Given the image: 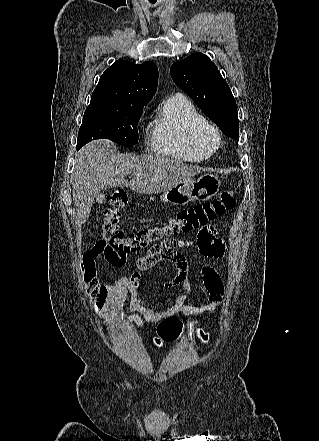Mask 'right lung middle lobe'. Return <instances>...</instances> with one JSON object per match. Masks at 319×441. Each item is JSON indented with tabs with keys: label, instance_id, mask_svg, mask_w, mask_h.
Listing matches in <instances>:
<instances>
[{
	"label": "right lung middle lobe",
	"instance_id": "obj_1",
	"mask_svg": "<svg viewBox=\"0 0 319 441\" xmlns=\"http://www.w3.org/2000/svg\"><path fill=\"white\" fill-rule=\"evenodd\" d=\"M143 106L102 104L88 106L79 129L77 150L92 139L107 138L130 147L138 142L137 124Z\"/></svg>",
	"mask_w": 319,
	"mask_h": 441
}]
</instances>
